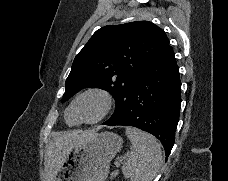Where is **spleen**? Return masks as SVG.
Segmentation results:
<instances>
[{"mask_svg": "<svg viewBox=\"0 0 228 181\" xmlns=\"http://www.w3.org/2000/svg\"><path fill=\"white\" fill-rule=\"evenodd\" d=\"M125 133L132 149L122 167L125 179L153 181L163 163L161 145L153 135L139 131L136 127H126Z\"/></svg>", "mask_w": 228, "mask_h": 181, "instance_id": "1", "label": "spleen"}]
</instances>
